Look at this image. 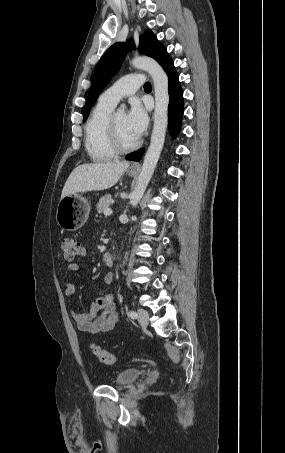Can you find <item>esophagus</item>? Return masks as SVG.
<instances>
[{"instance_id": "obj_1", "label": "esophagus", "mask_w": 285, "mask_h": 453, "mask_svg": "<svg viewBox=\"0 0 285 453\" xmlns=\"http://www.w3.org/2000/svg\"><path fill=\"white\" fill-rule=\"evenodd\" d=\"M140 167V164L138 162H134L132 165H131V169H138Z\"/></svg>"}]
</instances>
